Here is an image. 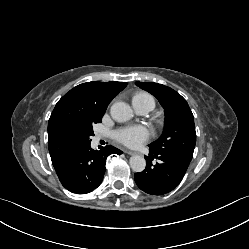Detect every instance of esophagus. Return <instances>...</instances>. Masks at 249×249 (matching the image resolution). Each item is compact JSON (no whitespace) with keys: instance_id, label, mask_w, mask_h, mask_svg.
Listing matches in <instances>:
<instances>
[{"instance_id":"obj_1","label":"esophagus","mask_w":249,"mask_h":249,"mask_svg":"<svg viewBox=\"0 0 249 249\" xmlns=\"http://www.w3.org/2000/svg\"><path fill=\"white\" fill-rule=\"evenodd\" d=\"M125 153H127L128 155H136L137 154V152L130 151V150H126Z\"/></svg>"}]
</instances>
